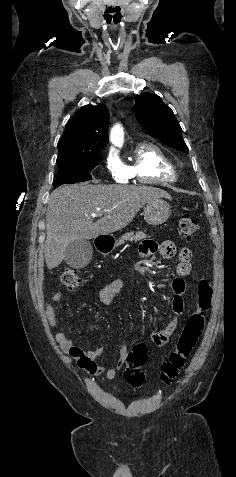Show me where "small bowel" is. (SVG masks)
Segmentation results:
<instances>
[{
  "instance_id": "1",
  "label": "small bowel",
  "mask_w": 236,
  "mask_h": 477,
  "mask_svg": "<svg viewBox=\"0 0 236 477\" xmlns=\"http://www.w3.org/2000/svg\"><path fill=\"white\" fill-rule=\"evenodd\" d=\"M140 253L144 257H153L154 255L159 254L163 259H170L177 254L179 259L176 269L177 277L172 282L173 296L171 305L173 318L163 329L154 332L152 335L154 345L158 348H162L168 343L169 339L176 331L179 317L184 311L183 297L185 294V285L182 278L187 276L191 271V252L186 246L177 249L172 241H164L160 245H157L154 241L145 240L140 246ZM123 286L124 280L121 278L108 282L99 293L100 303L104 306L111 305ZM163 287V284H158V288L162 289ZM61 301L62 294L56 292L52 296V302L46 303L45 305V314L51 327H54L57 324L56 311L53 304H59ZM55 339L62 350L74 359L77 365L88 374L101 375L105 373L106 377L111 380L116 377L118 370L124 368L126 365L128 355V346L126 345L120 347L119 358L116 365L105 370V368L96 361V359L103 353L102 347L85 351L74 345L69 336L62 332L57 333Z\"/></svg>"
}]
</instances>
